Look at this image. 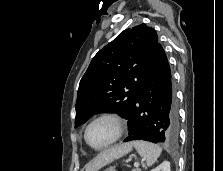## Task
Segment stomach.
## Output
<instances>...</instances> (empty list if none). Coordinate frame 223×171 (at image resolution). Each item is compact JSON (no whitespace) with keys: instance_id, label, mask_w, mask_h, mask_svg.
Instances as JSON below:
<instances>
[{"instance_id":"0dacf381","label":"stomach","mask_w":223,"mask_h":171,"mask_svg":"<svg viewBox=\"0 0 223 171\" xmlns=\"http://www.w3.org/2000/svg\"><path fill=\"white\" fill-rule=\"evenodd\" d=\"M105 171H115V168L114 167H110V168L106 169Z\"/></svg>"}]
</instances>
